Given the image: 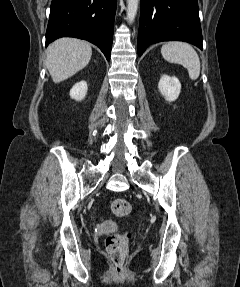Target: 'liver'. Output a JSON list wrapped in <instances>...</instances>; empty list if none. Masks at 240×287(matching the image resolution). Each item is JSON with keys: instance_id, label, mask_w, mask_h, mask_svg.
Wrapping results in <instances>:
<instances>
[{"instance_id": "6515ba94", "label": "liver", "mask_w": 240, "mask_h": 287, "mask_svg": "<svg viewBox=\"0 0 240 287\" xmlns=\"http://www.w3.org/2000/svg\"><path fill=\"white\" fill-rule=\"evenodd\" d=\"M92 48L86 41L61 38L51 43L46 50V67L54 83H60L89 63Z\"/></svg>"}]
</instances>
